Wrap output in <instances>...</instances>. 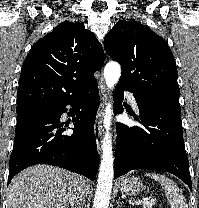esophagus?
<instances>
[{
  "label": "esophagus",
  "mask_w": 199,
  "mask_h": 208,
  "mask_svg": "<svg viewBox=\"0 0 199 208\" xmlns=\"http://www.w3.org/2000/svg\"><path fill=\"white\" fill-rule=\"evenodd\" d=\"M98 86H99L101 102H100V106H99L97 116H96V121H95V126H94V135L96 139L97 150L100 154L101 142H102V131H103L102 117H103V108L107 100V90H106L103 79H100Z\"/></svg>",
  "instance_id": "obj_1"
}]
</instances>
